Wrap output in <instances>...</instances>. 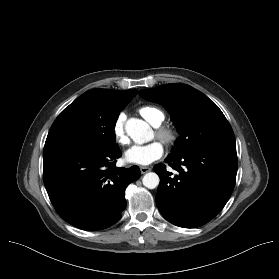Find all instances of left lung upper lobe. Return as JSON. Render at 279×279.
<instances>
[{
  "label": "left lung upper lobe",
  "mask_w": 279,
  "mask_h": 279,
  "mask_svg": "<svg viewBox=\"0 0 279 279\" xmlns=\"http://www.w3.org/2000/svg\"><path fill=\"white\" fill-rule=\"evenodd\" d=\"M140 96L165 106L180 137L171 156L211 144H235L233 130L218 106L202 92L180 84H165L140 91Z\"/></svg>",
  "instance_id": "left-lung-upper-lobe-1"
}]
</instances>
